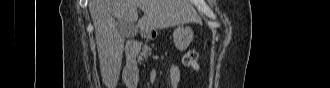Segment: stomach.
<instances>
[{
  "mask_svg": "<svg viewBox=\"0 0 330 88\" xmlns=\"http://www.w3.org/2000/svg\"><path fill=\"white\" fill-rule=\"evenodd\" d=\"M193 30L190 27L179 26L173 33V41L177 49L185 51L193 40ZM147 38H152V32L146 34Z\"/></svg>",
  "mask_w": 330,
  "mask_h": 88,
  "instance_id": "obj_1",
  "label": "stomach"
}]
</instances>
